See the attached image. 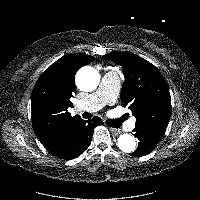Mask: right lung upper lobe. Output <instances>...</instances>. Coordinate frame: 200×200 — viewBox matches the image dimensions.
I'll return each mask as SVG.
<instances>
[{
    "label": "right lung upper lobe",
    "mask_w": 200,
    "mask_h": 200,
    "mask_svg": "<svg viewBox=\"0 0 200 200\" xmlns=\"http://www.w3.org/2000/svg\"><path fill=\"white\" fill-rule=\"evenodd\" d=\"M92 56L66 55L48 67L38 79L31 96L33 129L45 147L51 146L81 118L71 116L68 107L76 90L77 70L92 62Z\"/></svg>",
    "instance_id": "cb5924a9"
}]
</instances>
